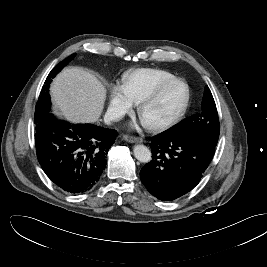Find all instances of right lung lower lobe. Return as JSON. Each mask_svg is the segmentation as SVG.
Returning a JSON list of instances; mask_svg holds the SVG:
<instances>
[{
    "label": "right lung lower lobe",
    "mask_w": 267,
    "mask_h": 267,
    "mask_svg": "<svg viewBox=\"0 0 267 267\" xmlns=\"http://www.w3.org/2000/svg\"><path fill=\"white\" fill-rule=\"evenodd\" d=\"M116 130L70 124L47 114L36 123L38 161L50 180L71 194L90 190L106 166Z\"/></svg>",
    "instance_id": "98d812e1"
}]
</instances>
